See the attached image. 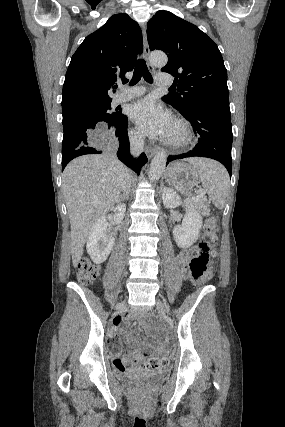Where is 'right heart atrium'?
Segmentation results:
<instances>
[{
  "label": "right heart atrium",
  "mask_w": 285,
  "mask_h": 427,
  "mask_svg": "<svg viewBox=\"0 0 285 427\" xmlns=\"http://www.w3.org/2000/svg\"><path fill=\"white\" fill-rule=\"evenodd\" d=\"M130 137H131L132 141H134L136 143H140L142 141V135L137 130H132L130 132Z\"/></svg>",
  "instance_id": "1"
}]
</instances>
